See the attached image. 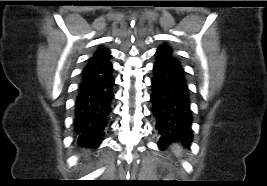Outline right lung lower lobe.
<instances>
[{
	"label": "right lung lower lobe",
	"mask_w": 267,
	"mask_h": 186,
	"mask_svg": "<svg viewBox=\"0 0 267 186\" xmlns=\"http://www.w3.org/2000/svg\"><path fill=\"white\" fill-rule=\"evenodd\" d=\"M110 61L85 67L77 89L74 105V131L78 143L98 147L107 126L114 98Z\"/></svg>",
	"instance_id": "right-lung-lower-lobe-1"
}]
</instances>
